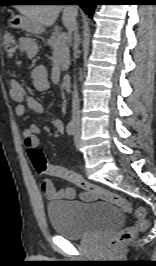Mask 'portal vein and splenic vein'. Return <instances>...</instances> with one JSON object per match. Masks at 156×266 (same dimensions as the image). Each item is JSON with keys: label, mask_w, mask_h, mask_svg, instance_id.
<instances>
[{"label": "portal vein and splenic vein", "mask_w": 156, "mask_h": 266, "mask_svg": "<svg viewBox=\"0 0 156 266\" xmlns=\"http://www.w3.org/2000/svg\"><path fill=\"white\" fill-rule=\"evenodd\" d=\"M60 37L65 39L66 38V34L62 32V33H60Z\"/></svg>", "instance_id": "obj_1"}]
</instances>
